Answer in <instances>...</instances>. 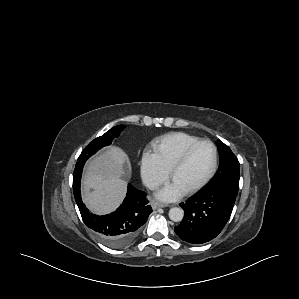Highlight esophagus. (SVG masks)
Returning a JSON list of instances; mask_svg holds the SVG:
<instances>
[{
  "label": "esophagus",
  "mask_w": 299,
  "mask_h": 299,
  "mask_svg": "<svg viewBox=\"0 0 299 299\" xmlns=\"http://www.w3.org/2000/svg\"><path fill=\"white\" fill-rule=\"evenodd\" d=\"M151 206H152L153 209L167 207L166 204L161 203V202H159V201H153L152 204H151Z\"/></svg>",
  "instance_id": "34e87169"
}]
</instances>
